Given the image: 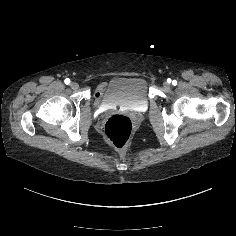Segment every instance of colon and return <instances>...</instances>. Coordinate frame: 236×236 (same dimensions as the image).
Returning a JSON list of instances; mask_svg holds the SVG:
<instances>
[{
  "mask_svg": "<svg viewBox=\"0 0 236 236\" xmlns=\"http://www.w3.org/2000/svg\"><path fill=\"white\" fill-rule=\"evenodd\" d=\"M133 122L127 115L111 116L104 126L106 139L117 149H125L133 132Z\"/></svg>",
  "mask_w": 236,
  "mask_h": 236,
  "instance_id": "obj_1",
  "label": "colon"
}]
</instances>
